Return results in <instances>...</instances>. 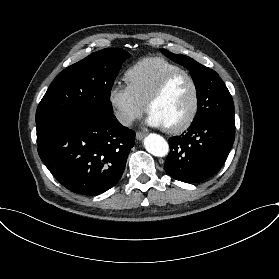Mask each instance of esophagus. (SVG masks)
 <instances>
[{"mask_svg": "<svg viewBox=\"0 0 279 279\" xmlns=\"http://www.w3.org/2000/svg\"><path fill=\"white\" fill-rule=\"evenodd\" d=\"M145 137V134L143 132H137L136 133V139L142 140Z\"/></svg>", "mask_w": 279, "mask_h": 279, "instance_id": "34e87169", "label": "esophagus"}]
</instances>
